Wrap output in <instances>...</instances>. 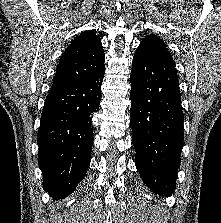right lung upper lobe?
<instances>
[{
	"instance_id": "1",
	"label": "right lung upper lobe",
	"mask_w": 221,
	"mask_h": 223,
	"mask_svg": "<svg viewBox=\"0 0 221 223\" xmlns=\"http://www.w3.org/2000/svg\"><path fill=\"white\" fill-rule=\"evenodd\" d=\"M104 51L99 36L87 30L64 51L50 91L75 85L104 68Z\"/></svg>"
}]
</instances>
